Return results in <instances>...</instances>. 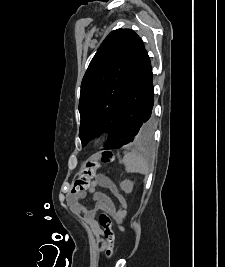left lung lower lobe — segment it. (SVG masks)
Listing matches in <instances>:
<instances>
[{
	"label": "left lung lower lobe",
	"mask_w": 225,
	"mask_h": 267,
	"mask_svg": "<svg viewBox=\"0 0 225 267\" xmlns=\"http://www.w3.org/2000/svg\"><path fill=\"white\" fill-rule=\"evenodd\" d=\"M153 74L150 58L144 49L127 90L117 130L105 149H118L134 142L138 130L144 124V138L154 130Z\"/></svg>",
	"instance_id": "left-lung-lower-lobe-1"
}]
</instances>
